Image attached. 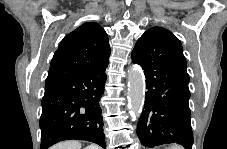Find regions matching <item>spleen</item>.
Segmentation results:
<instances>
[{
  "instance_id": "spleen-1",
  "label": "spleen",
  "mask_w": 227,
  "mask_h": 149,
  "mask_svg": "<svg viewBox=\"0 0 227 149\" xmlns=\"http://www.w3.org/2000/svg\"><path fill=\"white\" fill-rule=\"evenodd\" d=\"M168 149H183V148L181 146H179V145H172Z\"/></svg>"
}]
</instances>
